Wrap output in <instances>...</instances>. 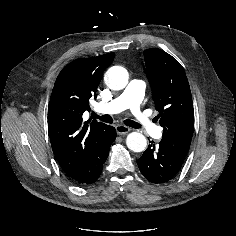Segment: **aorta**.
Returning <instances> with one entry per match:
<instances>
[{"label":"aorta","mask_w":236,"mask_h":236,"mask_svg":"<svg viewBox=\"0 0 236 236\" xmlns=\"http://www.w3.org/2000/svg\"><path fill=\"white\" fill-rule=\"evenodd\" d=\"M129 75L125 68L113 66L105 73L104 81L112 90H121L128 84ZM127 147L134 152H142L146 149L147 140L139 132H132L126 138Z\"/></svg>","instance_id":"1"}]
</instances>
